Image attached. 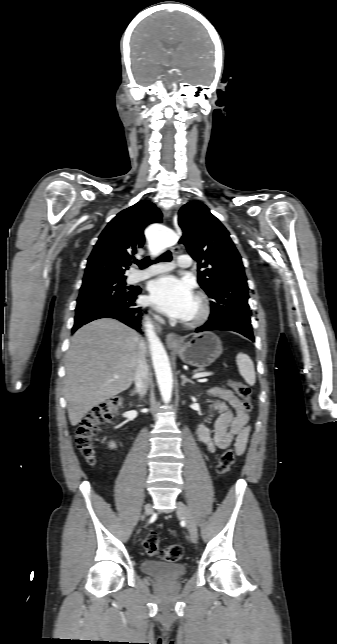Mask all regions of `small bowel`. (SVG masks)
<instances>
[{
    "mask_svg": "<svg viewBox=\"0 0 337 644\" xmlns=\"http://www.w3.org/2000/svg\"><path fill=\"white\" fill-rule=\"evenodd\" d=\"M209 393L217 398L211 408L217 410L220 415L212 432L203 423L198 425L199 441L208 453L234 445L236 454H243L247 446L250 427L248 414L243 409L241 401L228 389L215 387Z\"/></svg>",
    "mask_w": 337,
    "mask_h": 644,
    "instance_id": "small-bowel-1",
    "label": "small bowel"
}]
</instances>
